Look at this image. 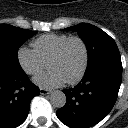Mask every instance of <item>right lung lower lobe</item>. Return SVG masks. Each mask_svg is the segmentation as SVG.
<instances>
[{"label": "right lung lower lobe", "mask_w": 128, "mask_h": 128, "mask_svg": "<svg viewBox=\"0 0 128 128\" xmlns=\"http://www.w3.org/2000/svg\"><path fill=\"white\" fill-rule=\"evenodd\" d=\"M26 73L0 70V128H16L28 116L31 99L39 95Z\"/></svg>", "instance_id": "right-lung-lower-lobe-1"}]
</instances>
